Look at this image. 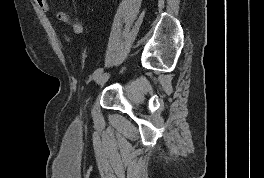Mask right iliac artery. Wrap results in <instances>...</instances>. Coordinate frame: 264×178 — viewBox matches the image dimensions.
<instances>
[{"label": "right iliac artery", "instance_id": "obj_1", "mask_svg": "<svg viewBox=\"0 0 264 178\" xmlns=\"http://www.w3.org/2000/svg\"><path fill=\"white\" fill-rule=\"evenodd\" d=\"M102 71H103V69L102 68H98L97 70H95V72L93 73V77H96V76H98L99 74H101L102 73Z\"/></svg>", "mask_w": 264, "mask_h": 178}]
</instances>
